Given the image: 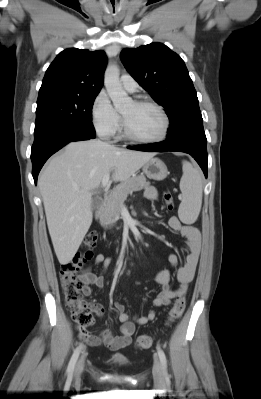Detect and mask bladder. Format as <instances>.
<instances>
[{"mask_svg":"<svg viewBox=\"0 0 261 399\" xmlns=\"http://www.w3.org/2000/svg\"><path fill=\"white\" fill-rule=\"evenodd\" d=\"M109 362L111 364H115V365H126L127 364V361L125 359L115 357V356L109 358Z\"/></svg>","mask_w":261,"mask_h":399,"instance_id":"bladder-1","label":"bladder"}]
</instances>
